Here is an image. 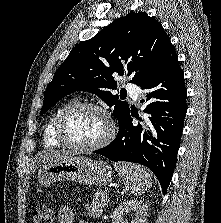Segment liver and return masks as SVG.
<instances>
[{"mask_svg":"<svg viewBox=\"0 0 221 223\" xmlns=\"http://www.w3.org/2000/svg\"><path fill=\"white\" fill-rule=\"evenodd\" d=\"M72 156V153L69 151H65V150H54L48 153H43L40 155V157L38 158V161L40 163H47V162H52L58 159H62V158H66Z\"/></svg>","mask_w":221,"mask_h":223,"instance_id":"1","label":"liver"}]
</instances>
